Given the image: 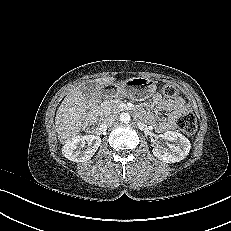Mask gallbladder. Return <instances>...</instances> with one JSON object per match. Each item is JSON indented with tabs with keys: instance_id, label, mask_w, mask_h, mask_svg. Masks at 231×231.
Returning a JSON list of instances; mask_svg holds the SVG:
<instances>
[{
	"instance_id": "bac80fb5",
	"label": "gallbladder",
	"mask_w": 231,
	"mask_h": 231,
	"mask_svg": "<svg viewBox=\"0 0 231 231\" xmlns=\"http://www.w3.org/2000/svg\"><path fill=\"white\" fill-rule=\"evenodd\" d=\"M100 88L101 86L97 82L87 81L80 87V90L84 96L91 97L95 95Z\"/></svg>"
}]
</instances>
